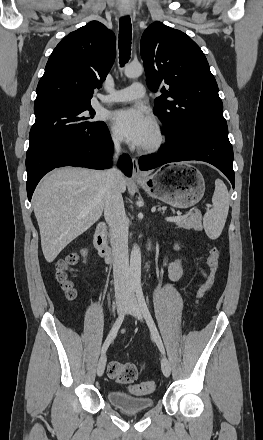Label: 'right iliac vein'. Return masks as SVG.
Wrapping results in <instances>:
<instances>
[{
    "instance_id": "63e3f726",
    "label": "right iliac vein",
    "mask_w": 263,
    "mask_h": 440,
    "mask_svg": "<svg viewBox=\"0 0 263 440\" xmlns=\"http://www.w3.org/2000/svg\"><path fill=\"white\" fill-rule=\"evenodd\" d=\"M127 305V299L122 298L117 300V312L120 315L126 308ZM106 355L103 354L99 361H98V365H97V375L98 376H102L105 370V366H106Z\"/></svg>"
}]
</instances>
